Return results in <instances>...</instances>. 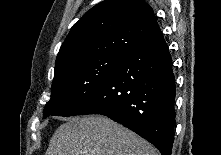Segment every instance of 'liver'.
<instances>
[{"label": "liver", "instance_id": "6515ba94", "mask_svg": "<svg viewBox=\"0 0 221 155\" xmlns=\"http://www.w3.org/2000/svg\"><path fill=\"white\" fill-rule=\"evenodd\" d=\"M146 140L100 115L75 118L58 127L45 155H156Z\"/></svg>", "mask_w": 221, "mask_h": 155}]
</instances>
